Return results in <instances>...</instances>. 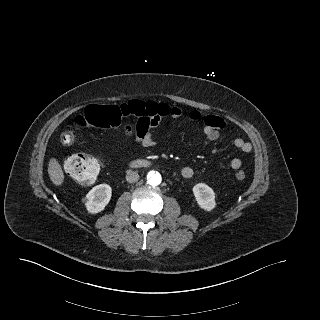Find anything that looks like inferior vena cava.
Wrapping results in <instances>:
<instances>
[{"label":"inferior vena cava","mask_w":320,"mask_h":320,"mask_svg":"<svg viewBox=\"0 0 320 320\" xmlns=\"http://www.w3.org/2000/svg\"><path fill=\"white\" fill-rule=\"evenodd\" d=\"M126 180L129 183H135L139 180V174L135 171L129 170L126 174Z\"/></svg>","instance_id":"inferior-vena-cava-1"}]
</instances>
